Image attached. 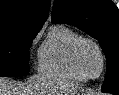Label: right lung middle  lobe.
<instances>
[{"mask_svg": "<svg viewBox=\"0 0 119 95\" xmlns=\"http://www.w3.org/2000/svg\"><path fill=\"white\" fill-rule=\"evenodd\" d=\"M39 30L15 27L0 33V77L28 75L29 48Z\"/></svg>", "mask_w": 119, "mask_h": 95, "instance_id": "obj_1", "label": "right lung middle lobe"}]
</instances>
